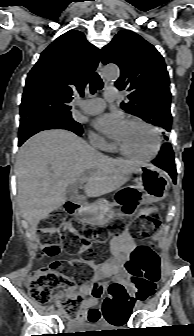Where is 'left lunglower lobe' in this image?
<instances>
[{
	"instance_id": "left-lung-lower-lobe-1",
	"label": "left lung lower lobe",
	"mask_w": 194,
	"mask_h": 336,
	"mask_svg": "<svg viewBox=\"0 0 194 336\" xmlns=\"http://www.w3.org/2000/svg\"><path fill=\"white\" fill-rule=\"evenodd\" d=\"M153 163L170 174L174 183H176V166L174 162V153L170 144H165Z\"/></svg>"
}]
</instances>
